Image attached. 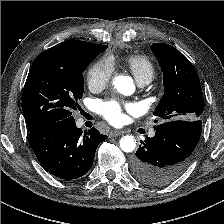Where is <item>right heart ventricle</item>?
Masks as SVG:
<instances>
[{
	"label": "right heart ventricle",
	"mask_w": 224,
	"mask_h": 224,
	"mask_svg": "<svg viewBox=\"0 0 224 224\" xmlns=\"http://www.w3.org/2000/svg\"><path fill=\"white\" fill-rule=\"evenodd\" d=\"M124 63L139 83L150 82L156 74L154 64L148 57L144 55H127L124 58Z\"/></svg>",
	"instance_id": "obj_1"
}]
</instances>
